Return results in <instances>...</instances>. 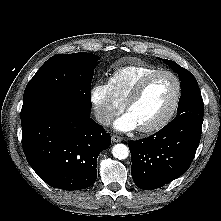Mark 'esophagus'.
Instances as JSON below:
<instances>
[{"label": "esophagus", "instance_id": "esophagus-1", "mask_svg": "<svg viewBox=\"0 0 221 221\" xmlns=\"http://www.w3.org/2000/svg\"><path fill=\"white\" fill-rule=\"evenodd\" d=\"M111 139L113 142H121L123 138L118 135H112Z\"/></svg>", "mask_w": 221, "mask_h": 221}]
</instances>
